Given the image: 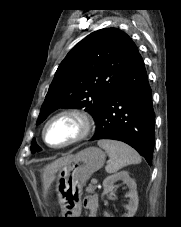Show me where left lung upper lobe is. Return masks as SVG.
<instances>
[{"instance_id": "left-lung-upper-lobe-1", "label": "left lung upper lobe", "mask_w": 181, "mask_h": 227, "mask_svg": "<svg viewBox=\"0 0 181 227\" xmlns=\"http://www.w3.org/2000/svg\"><path fill=\"white\" fill-rule=\"evenodd\" d=\"M138 53L130 37L116 28L101 29L85 37L59 65L36 124L58 108L84 107L97 122ZM39 150L33 139L31 151Z\"/></svg>"}]
</instances>
